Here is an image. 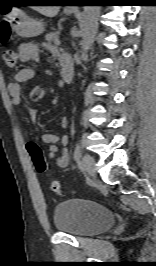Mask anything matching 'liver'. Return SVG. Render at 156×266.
Returning <instances> with one entry per match:
<instances>
[{
    "label": "liver",
    "mask_w": 156,
    "mask_h": 266,
    "mask_svg": "<svg viewBox=\"0 0 156 266\" xmlns=\"http://www.w3.org/2000/svg\"><path fill=\"white\" fill-rule=\"evenodd\" d=\"M33 9L46 17H55L59 10V6H34Z\"/></svg>",
    "instance_id": "liver-1"
}]
</instances>
